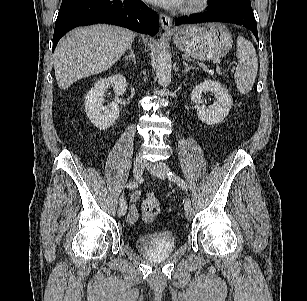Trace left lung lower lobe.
Masks as SVG:
<instances>
[{
  "label": "left lung lower lobe",
  "mask_w": 307,
  "mask_h": 301,
  "mask_svg": "<svg viewBox=\"0 0 307 301\" xmlns=\"http://www.w3.org/2000/svg\"><path fill=\"white\" fill-rule=\"evenodd\" d=\"M201 22H229L250 29L258 40L257 24L251 5L237 4L214 7L202 14L175 19V25Z\"/></svg>",
  "instance_id": "left-lung-lower-lobe-1"
}]
</instances>
